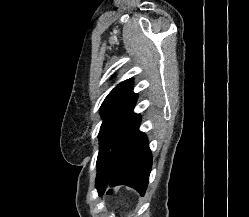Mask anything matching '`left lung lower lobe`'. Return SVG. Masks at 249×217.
Here are the masks:
<instances>
[{
    "instance_id": "obj_1",
    "label": "left lung lower lobe",
    "mask_w": 249,
    "mask_h": 217,
    "mask_svg": "<svg viewBox=\"0 0 249 217\" xmlns=\"http://www.w3.org/2000/svg\"><path fill=\"white\" fill-rule=\"evenodd\" d=\"M140 115L131 112L122 123L113 168L109 173L97 168L96 188L103 195L107 185L125 184L144 195L152 167L147 137L139 131Z\"/></svg>"
}]
</instances>
